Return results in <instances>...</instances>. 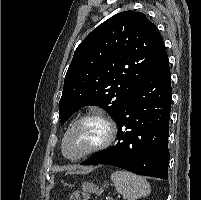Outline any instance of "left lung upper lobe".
Here are the masks:
<instances>
[{
    "instance_id": "obj_1",
    "label": "left lung upper lobe",
    "mask_w": 201,
    "mask_h": 200,
    "mask_svg": "<svg viewBox=\"0 0 201 200\" xmlns=\"http://www.w3.org/2000/svg\"><path fill=\"white\" fill-rule=\"evenodd\" d=\"M164 54L157 27L141 12L124 11L100 24L74 52L59 101L61 123L88 105L115 119Z\"/></svg>"
}]
</instances>
